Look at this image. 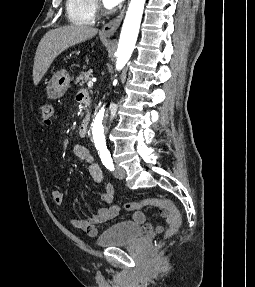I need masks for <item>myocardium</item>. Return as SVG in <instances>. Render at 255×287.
Masks as SVG:
<instances>
[{"mask_svg":"<svg viewBox=\"0 0 255 287\" xmlns=\"http://www.w3.org/2000/svg\"><path fill=\"white\" fill-rule=\"evenodd\" d=\"M100 33H108V32H100ZM109 39H120V38H109ZM130 48V47H127Z\"/></svg>","mask_w":255,"mask_h":287,"instance_id":"1","label":"myocardium"}]
</instances>
